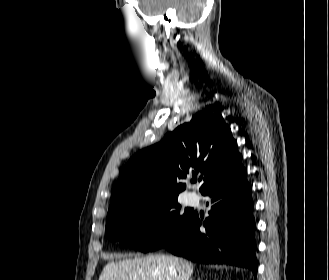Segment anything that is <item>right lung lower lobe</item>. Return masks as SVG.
Masks as SVG:
<instances>
[{
  "label": "right lung lower lobe",
  "instance_id": "1",
  "mask_svg": "<svg viewBox=\"0 0 329 280\" xmlns=\"http://www.w3.org/2000/svg\"><path fill=\"white\" fill-rule=\"evenodd\" d=\"M211 200L209 217L197 213L188 225L162 246L174 255L199 263L230 264L249 268L256 276L255 222L251 186L242 164L210 183L202 192ZM203 224L204 231L199 227Z\"/></svg>",
  "mask_w": 329,
  "mask_h": 280
}]
</instances>
